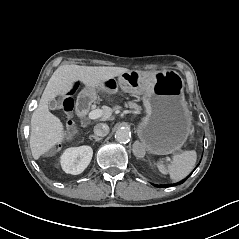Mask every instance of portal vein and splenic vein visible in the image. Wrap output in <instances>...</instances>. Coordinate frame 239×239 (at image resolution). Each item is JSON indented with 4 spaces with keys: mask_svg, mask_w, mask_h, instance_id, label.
Masks as SVG:
<instances>
[{
    "mask_svg": "<svg viewBox=\"0 0 239 239\" xmlns=\"http://www.w3.org/2000/svg\"><path fill=\"white\" fill-rule=\"evenodd\" d=\"M100 116H101V111L100 110L90 111L87 115L89 120H95V119L99 118ZM169 158L170 157L167 155L165 159L169 162L170 161Z\"/></svg>",
    "mask_w": 239,
    "mask_h": 239,
    "instance_id": "1",
    "label": "portal vein and splenic vein"
}]
</instances>
